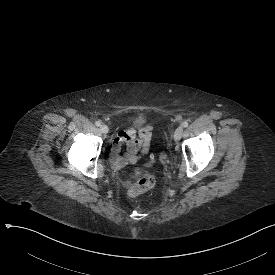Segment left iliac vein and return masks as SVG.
<instances>
[{"instance_id":"4c4485c4","label":"left iliac vein","mask_w":275,"mask_h":275,"mask_svg":"<svg viewBox=\"0 0 275 275\" xmlns=\"http://www.w3.org/2000/svg\"><path fill=\"white\" fill-rule=\"evenodd\" d=\"M183 132H184V129L182 126L177 127V129L175 130V134H174L175 142H178L181 139Z\"/></svg>"}]
</instances>
